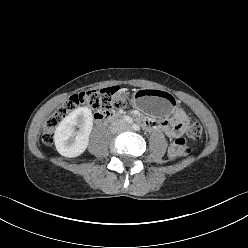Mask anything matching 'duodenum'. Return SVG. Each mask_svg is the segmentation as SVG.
<instances>
[{
  "label": "duodenum",
  "mask_w": 248,
  "mask_h": 248,
  "mask_svg": "<svg viewBox=\"0 0 248 248\" xmlns=\"http://www.w3.org/2000/svg\"><path fill=\"white\" fill-rule=\"evenodd\" d=\"M116 118L113 113H97L95 114V119L99 122H105Z\"/></svg>",
  "instance_id": "410a0bca"
}]
</instances>
